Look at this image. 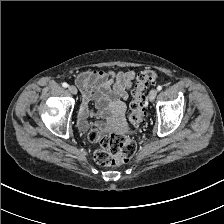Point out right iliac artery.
Masks as SVG:
<instances>
[{
  "label": "right iliac artery",
  "mask_w": 224,
  "mask_h": 224,
  "mask_svg": "<svg viewBox=\"0 0 224 224\" xmlns=\"http://www.w3.org/2000/svg\"><path fill=\"white\" fill-rule=\"evenodd\" d=\"M62 86H63L64 88H67V87H68V84H67L66 82H64V83H62Z\"/></svg>",
  "instance_id": "1"
}]
</instances>
